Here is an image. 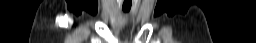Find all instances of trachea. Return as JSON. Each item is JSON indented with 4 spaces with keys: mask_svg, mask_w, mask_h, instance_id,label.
I'll list each match as a JSON object with an SVG mask.
<instances>
[{
    "mask_svg": "<svg viewBox=\"0 0 256 43\" xmlns=\"http://www.w3.org/2000/svg\"><path fill=\"white\" fill-rule=\"evenodd\" d=\"M123 11H124L125 13H127V12L130 11V9H123Z\"/></svg>",
    "mask_w": 256,
    "mask_h": 43,
    "instance_id": "trachea-1",
    "label": "trachea"
}]
</instances>
